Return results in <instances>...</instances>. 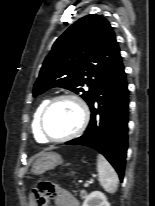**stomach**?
<instances>
[{"instance_id": "stomach-1", "label": "stomach", "mask_w": 155, "mask_h": 206, "mask_svg": "<svg viewBox=\"0 0 155 206\" xmlns=\"http://www.w3.org/2000/svg\"><path fill=\"white\" fill-rule=\"evenodd\" d=\"M62 163L63 159L58 153H44L40 158L35 161L32 167V173L40 175L48 170L54 169L56 166Z\"/></svg>"}]
</instances>
